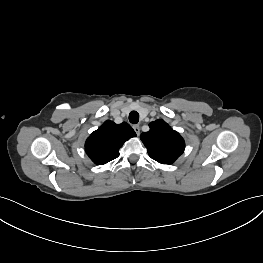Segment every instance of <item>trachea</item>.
<instances>
[{"mask_svg": "<svg viewBox=\"0 0 263 263\" xmlns=\"http://www.w3.org/2000/svg\"><path fill=\"white\" fill-rule=\"evenodd\" d=\"M129 121L132 124H137L138 121H139V114H138V112H136V111L130 112V114H129Z\"/></svg>", "mask_w": 263, "mask_h": 263, "instance_id": "1", "label": "trachea"}]
</instances>
